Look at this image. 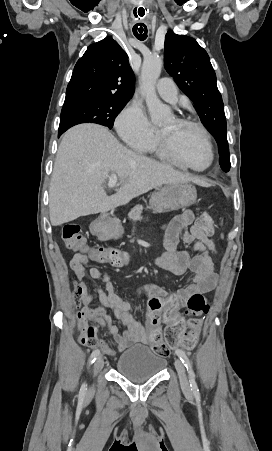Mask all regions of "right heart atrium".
Returning a JSON list of instances; mask_svg holds the SVG:
<instances>
[{"label":"right heart atrium","instance_id":"1","mask_svg":"<svg viewBox=\"0 0 272 451\" xmlns=\"http://www.w3.org/2000/svg\"><path fill=\"white\" fill-rule=\"evenodd\" d=\"M117 127L124 140L136 148H145L157 137V129L145 110L134 103L128 104L121 112Z\"/></svg>","mask_w":272,"mask_h":451}]
</instances>
